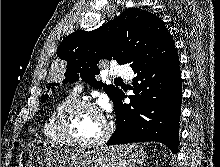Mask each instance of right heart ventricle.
Masks as SVG:
<instances>
[{"mask_svg": "<svg viewBox=\"0 0 220 167\" xmlns=\"http://www.w3.org/2000/svg\"><path fill=\"white\" fill-rule=\"evenodd\" d=\"M75 99V94H69L60 101H58L50 110L42 127V133L44 137L55 144L63 145L64 141L60 138L56 130V120L59 112L69 102Z\"/></svg>", "mask_w": 220, "mask_h": 167, "instance_id": "e07e8e85", "label": "right heart ventricle"}]
</instances>
